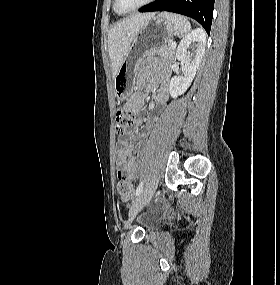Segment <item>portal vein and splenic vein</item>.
Segmentation results:
<instances>
[{
    "label": "portal vein and splenic vein",
    "instance_id": "18ae733b",
    "mask_svg": "<svg viewBox=\"0 0 280 285\" xmlns=\"http://www.w3.org/2000/svg\"><path fill=\"white\" fill-rule=\"evenodd\" d=\"M170 46H171L172 48H175V47H176V43H175V42H171V43H170Z\"/></svg>",
    "mask_w": 280,
    "mask_h": 285
}]
</instances>
